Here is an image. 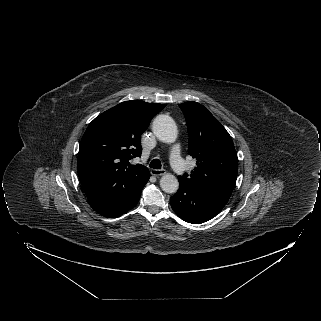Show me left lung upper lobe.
<instances>
[{"mask_svg": "<svg viewBox=\"0 0 321 321\" xmlns=\"http://www.w3.org/2000/svg\"><path fill=\"white\" fill-rule=\"evenodd\" d=\"M179 106L187 122L189 155L197 164L189 177L185 174L179 177V181L232 192L238 158L229 133L205 106L193 101Z\"/></svg>", "mask_w": 321, "mask_h": 321, "instance_id": "1", "label": "left lung upper lobe"}]
</instances>
